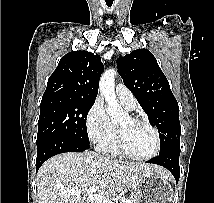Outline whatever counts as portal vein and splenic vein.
<instances>
[{
  "instance_id": "obj_1",
  "label": "portal vein and splenic vein",
  "mask_w": 214,
  "mask_h": 203,
  "mask_svg": "<svg viewBox=\"0 0 214 203\" xmlns=\"http://www.w3.org/2000/svg\"><path fill=\"white\" fill-rule=\"evenodd\" d=\"M99 189V186H92L88 189L85 190H80V189H67L62 191L64 194H71V195H81L82 193L87 194V202L89 203H113L106 197L100 195V194H95V192ZM121 203H127V200H122Z\"/></svg>"
}]
</instances>
